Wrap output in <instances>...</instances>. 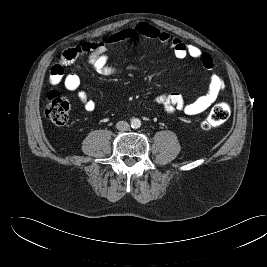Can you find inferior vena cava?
<instances>
[{"mask_svg": "<svg viewBox=\"0 0 267 267\" xmlns=\"http://www.w3.org/2000/svg\"><path fill=\"white\" fill-rule=\"evenodd\" d=\"M116 128L120 131H128L130 129V125L126 121H118L116 123Z\"/></svg>", "mask_w": 267, "mask_h": 267, "instance_id": "obj_1", "label": "inferior vena cava"}]
</instances>
